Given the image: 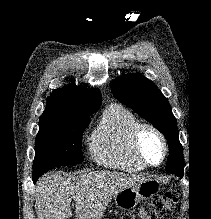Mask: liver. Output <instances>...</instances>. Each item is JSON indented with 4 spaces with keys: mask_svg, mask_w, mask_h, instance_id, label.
Instances as JSON below:
<instances>
[{
    "mask_svg": "<svg viewBox=\"0 0 211 219\" xmlns=\"http://www.w3.org/2000/svg\"><path fill=\"white\" fill-rule=\"evenodd\" d=\"M147 180L144 176L118 172L79 175L46 174L36 184L38 219H68L75 201L76 219H101L108 203L121 190Z\"/></svg>",
    "mask_w": 211,
    "mask_h": 219,
    "instance_id": "obj_1",
    "label": "liver"
}]
</instances>
